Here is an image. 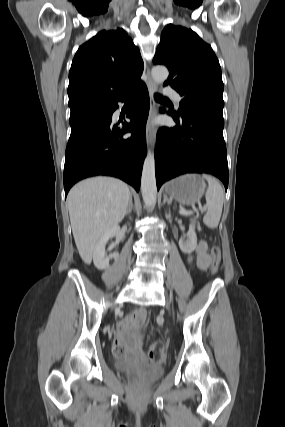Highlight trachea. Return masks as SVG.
I'll return each instance as SVG.
<instances>
[{
  "label": "trachea",
  "mask_w": 285,
  "mask_h": 427,
  "mask_svg": "<svg viewBox=\"0 0 285 427\" xmlns=\"http://www.w3.org/2000/svg\"><path fill=\"white\" fill-rule=\"evenodd\" d=\"M154 97H155L156 100H165V99H167V98L163 97L160 94H155Z\"/></svg>",
  "instance_id": "1"
}]
</instances>
